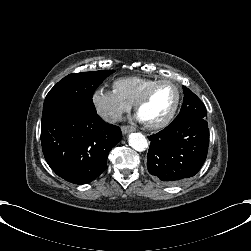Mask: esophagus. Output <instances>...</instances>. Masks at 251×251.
<instances>
[{"mask_svg": "<svg viewBox=\"0 0 251 251\" xmlns=\"http://www.w3.org/2000/svg\"><path fill=\"white\" fill-rule=\"evenodd\" d=\"M121 130H122L123 134H129L132 131H134V126L127 124V126H122Z\"/></svg>", "mask_w": 251, "mask_h": 251, "instance_id": "34e87169", "label": "esophagus"}]
</instances>
